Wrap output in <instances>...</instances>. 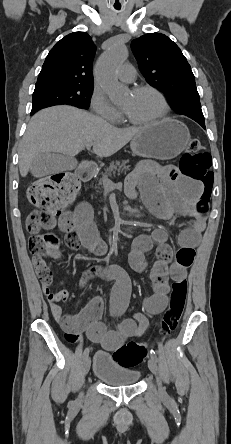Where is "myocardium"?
I'll return each instance as SVG.
<instances>
[{
  "label": "myocardium",
  "instance_id": "obj_1",
  "mask_svg": "<svg viewBox=\"0 0 231 444\" xmlns=\"http://www.w3.org/2000/svg\"><path fill=\"white\" fill-rule=\"evenodd\" d=\"M142 92H152L154 93L156 96H158V98L160 99V101L162 102V112L149 120H144V121H136L133 120L132 118H130L124 111H123V117L125 119L126 122L132 124V125H138V126H143V125H151V124H156L162 120H164L167 115L169 114L170 111V105L168 102V99L166 98V96L164 95V93L162 91H160L158 88L151 86V85H142V86H137L134 87L131 90V93L133 94H138V93H142Z\"/></svg>",
  "mask_w": 231,
  "mask_h": 444
}]
</instances>
